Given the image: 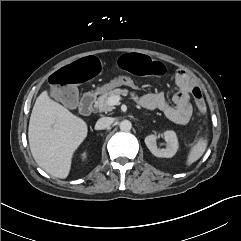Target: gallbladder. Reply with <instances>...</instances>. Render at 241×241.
<instances>
[{"instance_id":"bac80fb5","label":"gallbladder","mask_w":241,"mask_h":241,"mask_svg":"<svg viewBox=\"0 0 241 241\" xmlns=\"http://www.w3.org/2000/svg\"><path fill=\"white\" fill-rule=\"evenodd\" d=\"M67 98L69 100L65 105L69 108L74 109L78 105L79 93L76 87H70L68 90Z\"/></svg>"}]
</instances>
